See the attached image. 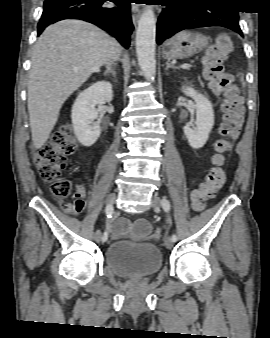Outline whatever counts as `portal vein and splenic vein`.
<instances>
[{
  "label": "portal vein and splenic vein",
  "instance_id": "portal-vein-and-splenic-vein-1",
  "mask_svg": "<svg viewBox=\"0 0 270 338\" xmlns=\"http://www.w3.org/2000/svg\"><path fill=\"white\" fill-rule=\"evenodd\" d=\"M191 67V64H188V63H184L181 65V68L183 69H189Z\"/></svg>",
  "mask_w": 270,
  "mask_h": 338
}]
</instances>
